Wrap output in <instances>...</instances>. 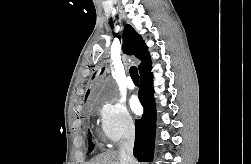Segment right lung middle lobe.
<instances>
[{
    "mask_svg": "<svg viewBox=\"0 0 251 164\" xmlns=\"http://www.w3.org/2000/svg\"><path fill=\"white\" fill-rule=\"evenodd\" d=\"M89 149L90 150H92L93 149V145H92V143L90 142V144H89Z\"/></svg>",
    "mask_w": 251,
    "mask_h": 164,
    "instance_id": "right-lung-middle-lobe-1",
    "label": "right lung middle lobe"
}]
</instances>
